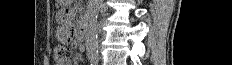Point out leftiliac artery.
<instances>
[{"instance_id": "44dca946", "label": "left iliac artery", "mask_w": 232, "mask_h": 65, "mask_svg": "<svg viewBox=\"0 0 232 65\" xmlns=\"http://www.w3.org/2000/svg\"><path fill=\"white\" fill-rule=\"evenodd\" d=\"M91 65H98V57L92 56L90 58Z\"/></svg>"}]
</instances>
